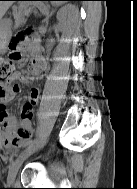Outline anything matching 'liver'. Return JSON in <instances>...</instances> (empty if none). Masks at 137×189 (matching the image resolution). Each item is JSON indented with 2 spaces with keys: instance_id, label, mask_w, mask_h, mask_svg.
<instances>
[{
  "instance_id": "liver-1",
  "label": "liver",
  "mask_w": 137,
  "mask_h": 189,
  "mask_svg": "<svg viewBox=\"0 0 137 189\" xmlns=\"http://www.w3.org/2000/svg\"><path fill=\"white\" fill-rule=\"evenodd\" d=\"M12 5V1H0V20Z\"/></svg>"
}]
</instances>
